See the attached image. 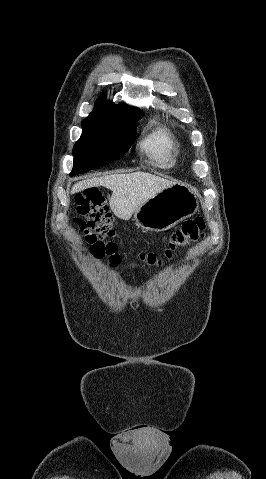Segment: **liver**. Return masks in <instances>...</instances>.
Here are the masks:
<instances>
[{
  "mask_svg": "<svg viewBox=\"0 0 266 479\" xmlns=\"http://www.w3.org/2000/svg\"><path fill=\"white\" fill-rule=\"evenodd\" d=\"M174 184H176L174 181L137 171L83 180L73 185L71 193L99 186L106 187L112 190V196L109 199L112 212L117 217L128 220L150 198Z\"/></svg>",
  "mask_w": 266,
  "mask_h": 479,
  "instance_id": "liver-1",
  "label": "liver"
}]
</instances>
